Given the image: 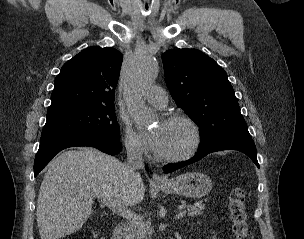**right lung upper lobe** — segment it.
<instances>
[{
    "label": "right lung upper lobe",
    "mask_w": 304,
    "mask_h": 239,
    "mask_svg": "<svg viewBox=\"0 0 304 239\" xmlns=\"http://www.w3.org/2000/svg\"><path fill=\"white\" fill-rule=\"evenodd\" d=\"M122 60V53L107 47H89L77 54L63 65L55 78L47 114L114 105Z\"/></svg>",
    "instance_id": "obj_1"
}]
</instances>
